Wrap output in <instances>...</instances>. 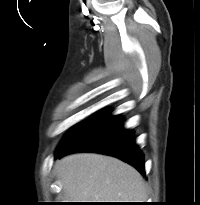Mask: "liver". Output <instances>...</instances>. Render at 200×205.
<instances>
[{
  "label": "liver",
  "instance_id": "6515ba94",
  "mask_svg": "<svg viewBox=\"0 0 200 205\" xmlns=\"http://www.w3.org/2000/svg\"><path fill=\"white\" fill-rule=\"evenodd\" d=\"M65 196L74 202H144L146 187L140 173L113 157L77 153L55 163Z\"/></svg>",
  "mask_w": 200,
  "mask_h": 205
}]
</instances>
